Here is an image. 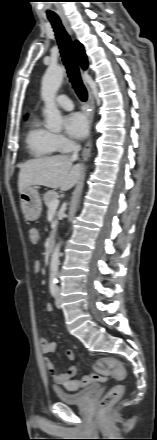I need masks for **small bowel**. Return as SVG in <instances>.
<instances>
[{"instance_id":"c3829d8e","label":"small bowel","mask_w":157,"mask_h":440,"mask_svg":"<svg viewBox=\"0 0 157 440\" xmlns=\"http://www.w3.org/2000/svg\"><path fill=\"white\" fill-rule=\"evenodd\" d=\"M40 271V263L35 262L34 263V273L37 274ZM45 310L47 313L52 312V306L50 304H47L45 307ZM39 344L41 347L42 353L45 355L44 358V364L51 375L54 383L56 385H64V383L70 379H72L77 374V367L75 365H71L65 373L58 374L55 370V366L53 364L52 359L49 357V355L53 354L56 350V343L55 341H50L44 337H41L39 339ZM66 357L69 360H73L75 358V354L71 349H68L66 351Z\"/></svg>"}]
</instances>
